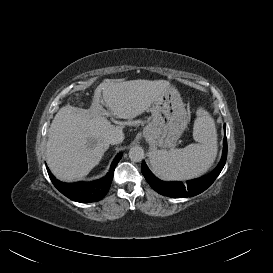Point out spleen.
<instances>
[{"instance_id":"spleen-1","label":"spleen","mask_w":273,"mask_h":273,"mask_svg":"<svg viewBox=\"0 0 273 273\" xmlns=\"http://www.w3.org/2000/svg\"><path fill=\"white\" fill-rule=\"evenodd\" d=\"M193 138L198 143L153 151L149 157L152 170L167 180L191 179L206 172L217 155V132L213 118L203 108L197 110Z\"/></svg>"}]
</instances>
